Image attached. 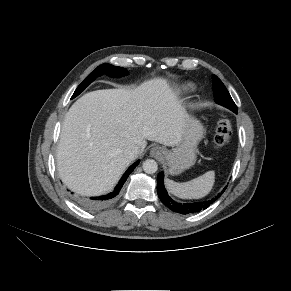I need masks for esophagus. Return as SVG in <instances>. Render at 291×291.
Masks as SVG:
<instances>
[{"mask_svg":"<svg viewBox=\"0 0 291 291\" xmlns=\"http://www.w3.org/2000/svg\"><path fill=\"white\" fill-rule=\"evenodd\" d=\"M162 148L161 147H153L150 151V154L154 157L160 156L162 154Z\"/></svg>","mask_w":291,"mask_h":291,"instance_id":"obj_1","label":"esophagus"}]
</instances>
